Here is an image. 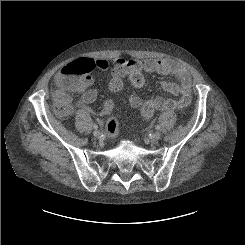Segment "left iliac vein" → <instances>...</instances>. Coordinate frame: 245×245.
<instances>
[{"mask_svg":"<svg viewBox=\"0 0 245 245\" xmlns=\"http://www.w3.org/2000/svg\"><path fill=\"white\" fill-rule=\"evenodd\" d=\"M160 137H161V133L158 131L152 135V139L154 140H158Z\"/></svg>","mask_w":245,"mask_h":245,"instance_id":"obj_1","label":"left iliac vein"}]
</instances>
